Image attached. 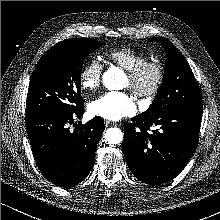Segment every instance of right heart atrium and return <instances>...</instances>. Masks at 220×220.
Instances as JSON below:
<instances>
[{
  "label": "right heart atrium",
  "mask_w": 220,
  "mask_h": 220,
  "mask_svg": "<svg viewBox=\"0 0 220 220\" xmlns=\"http://www.w3.org/2000/svg\"><path fill=\"white\" fill-rule=\"evenodd\" d=\"M103 65L98 59L89 60L81 69L79 83L82 90L94 91L100 86Z\"/></svg>",
  "instance_id": "1"
}]
</instances>
